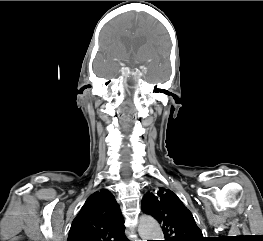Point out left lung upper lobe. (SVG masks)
Returning <instances> with one entry per match:
<instances>
[{"label": "left lung upper lobe", "mask_w": 263, "mask_h": 241, "mask_svg": "<svg viewBox=\"0 0 263 241\" xmlns=\"http://www.w3.org/2000/svg\"><path fill=\"white\" fill-rule=\"evenodd\" d=\"M142 210L162 224L165 241H204L192 213L171 190L160 187L148 192Z\"/></svg>", "instance_id": "obj_1"}]
</instances>
